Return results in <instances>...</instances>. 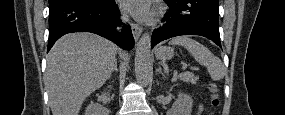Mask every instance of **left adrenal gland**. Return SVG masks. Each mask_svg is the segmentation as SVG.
Masks as SVG:
<instances>
[{"label":"left adrenal gland","instance_id":"a2214340","mask_svg":"<svg viewBox=\"0 0 285 115\" xmlns=\"http://www.w3.org/2000/svg\"><path fill=\"white\" fill-rule=\"evenodd\" d=\"M156 71L162 73V68H161V66H158V68L156 69Z\"/></svg>","mask_w":285,"mask_h":115}]
</instances>
